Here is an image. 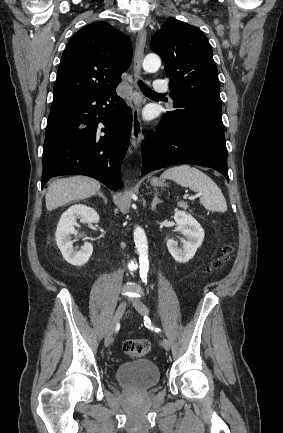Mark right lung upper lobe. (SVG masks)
<instances>
[{
	"label": "right lung upper lobe",
	"mask_w": 283,
	"mask_h": 433,
	"mask_svg": "<svg viewBox=\"0 0 283 433\" xmlns=\"http://www.w3.org/2000/svg\"><path fill=\"white\" fill-rule=\"evenodd\" d=\"M130 39L104 21L76 32L62 55L52 106L115 89L131 63Z\"/></svg>",
	"instance_id": "cb5924a9"
}]
</instances>
